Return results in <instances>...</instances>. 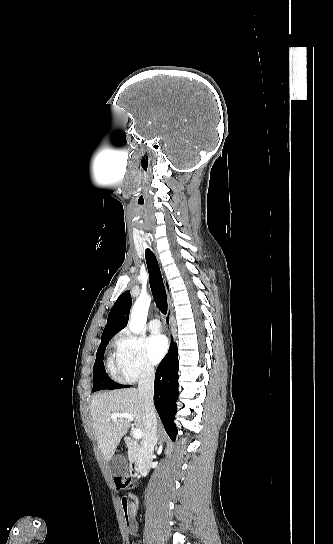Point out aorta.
Returning <instances> with one entry per match:
<instances>
[{"label": "aorta", "mask_w": 333, "mask_h": 544, "mask_svg": "<svg viewBox=\"0 0 333 544\" xmlns=\"http://www.w3.org/2000/svg\"><path fill=\"white\" fill-rule=\"evenodd\" d=\"M150 303L151 297L146 293L140 294L135 301L130 312L129 321V327L133 333L139 334L146 324Z\"/></svg>", "instance_id": "762f6f07"}]
</instances>
